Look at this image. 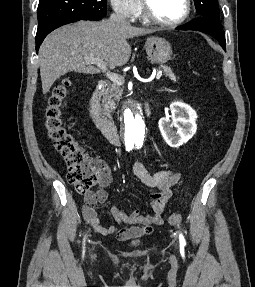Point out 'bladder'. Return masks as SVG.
Wrapping results in <instances>:
<instances>
[{"label": "bladder", "mask_w": 255, "mask_h": 287, "mask_svg": "<svg viewBox=\"0 0 255 287\" xmlns=\"http://www.w3.org/2000/svg\"><path fill=\"white\" fill-rule=\"evenodd\" d=\"M131 243H132V245H134V246H138V245H140L141 241H140L139 239H135V240H133Z\"/></svg>", "instance_id": "1"}]
</instances>
